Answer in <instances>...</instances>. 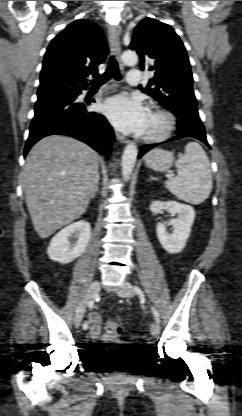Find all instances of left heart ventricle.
<instances>
[{
	"label": "left heart ventricle",
	"mask_w": 242,
	"mask_h": 416,
	"mask_svg": "<svg viewBox=\"0 0 242 416\" xmlns=\"http://www.w3.org/2000/svg\"><path fill=\"white\" fill-rule=\"evenodd\" d=\"M161 124V119L154 115L151 114L149 112L148 118H147V122H146V126H145V130L143 134L149 133V132H153L155 130H157L159 128Z\"/></svg>",
	"instance_id": "1"
}]
</instances>
